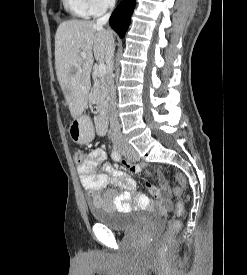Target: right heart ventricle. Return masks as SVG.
Listing matches in <instances>:
<instances>
[{
    "instance_id": "e07e8e85",
    "label": "right heart ventricle",
    "mask_w": 247,
    "mask_h": 275,
    "mask_svg": "<svg viewBox=\"0 0 247 275\" xmlns=\"http://www.w3.org/2000/svg\"><path fill=\"white\" fill-rule=\"evenodd\" d=\"M62 4L73 17L89 18L92 16L86 0H62Z\"/></svg>"
}]
</instances>
